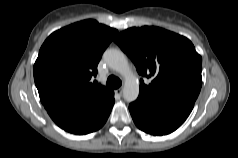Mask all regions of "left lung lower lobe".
I'll return each mask as SVG.
<instances>
[{"label":"left lung lower lobe","instance_id":"left-lung-lower-lobe-1","mask_svg":"<svg viewBox=\"0 0 238 158\" xmlns=\"http://www.w3.org/2000/svg\"><path fill=\"white\" fill-rule=\"evenodd\" d=\"M194 102L193 99H183L152 104L137 99L129 105V111L139 129L152 135H167L179 128L187 119Z\"/></svg>","mask_w":238,"mask_h":158}]
</instances>
